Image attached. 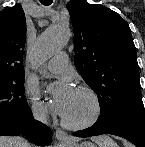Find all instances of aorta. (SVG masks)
<instances>
[{"instance_id":"762f6f07","label":"aorta","mask_w":145,"mask_h":147,"mask_svg":"<svg viewBox=\"0 0 145 147\" xmlns=\"http://www.w3.org/2000/svg\"><path fill=\"white\" fill-rule=\"evenodd\" d=\"M70 35L68 26L56 25L47 28L37 39L32 50V62L40 65L64 47Z\"/></svg>"}]
</instances>
